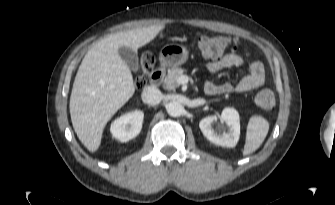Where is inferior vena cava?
<instances>
[{"label": "inferior vena cava", "instance_id": "1", "mask_svg": "<svg viewBox=\"0 0 335 205\" xmlns=\"http://www.w3.org/2000/svg\"><path fill=\"white\" fill-rule=\"evenodd\" d=\"M141 97L144 103L156 105L161 102L163 95L157 87L148 86L142 91Z\"/></svg>", "mask_w": 335, "mask_h": 205}]
</instances>
